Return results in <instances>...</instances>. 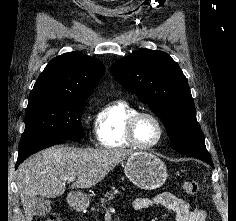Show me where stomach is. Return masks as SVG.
<instances>
[{"label": "stomach", "mask_w": 236, "mask_h": 221, "mask_svg": "<svg viewBox=\"0 0 236 221\" xmlns=\"http://www.w3.org/2000/svg\"><path fill=\"white\" fill-rule=\"evenodd\" d=\"M126 177L137 187L154 190L167 180V168L156 155L149 152H135L125 162ZM67 201L74 208H82L88 204L89 198L81 192H71Z\"/></svg>", "instance_id": "0dacf381"}]
</instances>
